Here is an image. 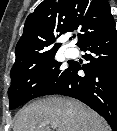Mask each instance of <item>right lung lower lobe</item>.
Wrapping results in <instances>:
<instances>
[{
    "instance_id": "right-lung-lower-lobe-1",
    "label": "right lung lower lobe",
    "mask_w": 117,
    "mask_h": 131,
    "mask_svg": "<svg viewBox=\"0 0 117 131\" xmlns=\"http://www.w3.org/2000/svg\"><path fill=\"white\" fill-rule=\"evenodd\" d=\"M89 63L69 66L62 86L52 94L76 98L103 116L117 131V30L108 32L80 46ZM84 71V76L77 72Z\"/></svg>"
}]
</instances>
